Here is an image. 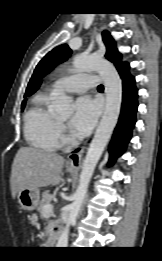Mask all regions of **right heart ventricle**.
Wrapping results in <instances>:
<instances>
[{
	"label": "right heart ventricle",
	"mask_w": 162,
	"mask_h": 261,
	"mask_svg": "<svg viewBox=\"0 0 162 261\" xmlns=\"http://www.w3.org/2000/svg\"><path fill=\"white\" fill-rule=\"evenodd\" d=\"M48 102L45 93L34 96L24 117V133L31 146L53 151L59 146V120L48 108Z\"/></svg>",
	"instance_id": "obj_1"
}]
</instances>
